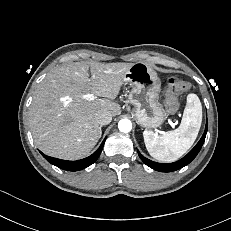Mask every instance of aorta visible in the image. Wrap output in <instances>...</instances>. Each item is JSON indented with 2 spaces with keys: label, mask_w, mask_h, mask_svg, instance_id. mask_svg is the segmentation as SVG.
<instances>
[{
  "label": "aorta",
  "mask_w": 231,
  "mask_h": 231,
  "mask_svg": "<svg viewBox=\"0 0 231 231\" xmlns=\"http://www.w3.org/2000/svg\"><path fill=\"white\" fill-rule=\"evenodd\" d=\"M118 128L123 133H128L132 130V123L128 119H122L118 123Z\"/></svg>",
  "instance_id": "762f6f07"
}]
</instances>
